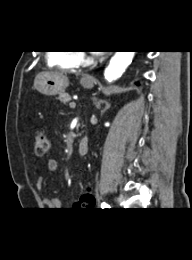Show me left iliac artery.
Listing matches in <instances>:
<instances>
[{
	"label": "left iliac artery",
	"mask_w": 192,
	"mask_h": 260,
	"mask_svg": "<svg viewBox=\"0 0 192 260\" xmlns=\"http://www.w3.org/2000/svg\"><path fill=\"white\" fill-rule=\"evenodd\" d=\"M101 208H103V209H108V208H110V206H109L107 203L103 202V203L101 204Z\"/></svg>",
	"instance_id": "1"
}]
</instances>
